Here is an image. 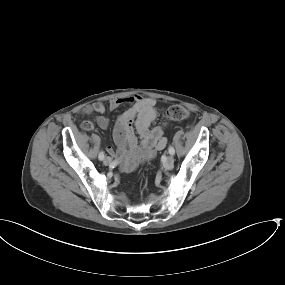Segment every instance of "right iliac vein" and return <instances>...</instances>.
I'll return each mask as SVG.
<instances>
[{"label": "right iliac vein", "mask_w": 285, "mask_h": 285, "mask_svg": "<svg viewBox=\"0 0 285 285\" xmlns=\"http://www.w3.org/2000/svg\"><path fill=\"white\" fill-rule=\"evenodd\" d=\"M103 162L105 165H110L112 163V159L110 157H105Z\"/></svg>", "instance_id": "1"}]
</instances>
